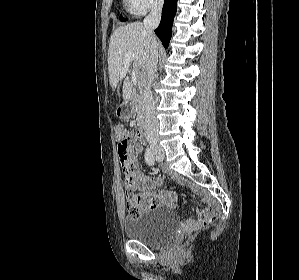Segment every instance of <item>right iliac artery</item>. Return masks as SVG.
Here are the masks:
<instances>
[{
    "instance_id": "1",
    "label": "right iliac artery",
    "mask_w": 299,
    "mask_h": 280,
    "mask_svg": "<svg viewBox=\"0 0 299 280\" xmlns=\"http://www.w3.org/2000/svg\"><path fill=\"white\" fill-rule=\"evenodd\" d=\"M145 161L150 166L154 165V163H155L154 155H153V153H152V151H151L150 148L146 149V152H145Z\"/></svg>"
}]
</instances>
